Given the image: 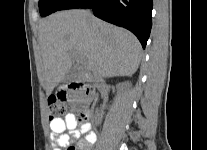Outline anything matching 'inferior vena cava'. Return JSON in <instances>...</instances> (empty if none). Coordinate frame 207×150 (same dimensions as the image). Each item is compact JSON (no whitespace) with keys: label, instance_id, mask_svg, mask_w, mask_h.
<instances>
[{"label":"inferior vena cava","instance_id":"inferior-vena-cava-1","mask_svg":"<svg viewBox=\"0 0 207 150\" xmlns=\"http://www.w3.org/2000/svg\"><path fill=\"white\" fill-rule=\"evenodd\" d=\"M87 14L90 15L91 13L89 11H87ZM97 84H100L101 82H103L102 78L98 77L96 80Z\"/></svg>","mask_w":207,"mask_h":150}]
</instances>
